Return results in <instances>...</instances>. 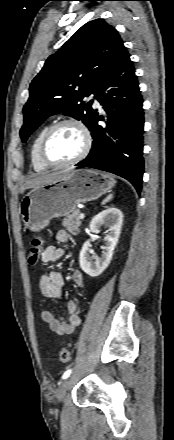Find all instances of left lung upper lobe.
<instances>
[{"mask_svg": "<svg viewBox=\"0 0 174 440\" xmlns=\"http://www.w3.org/2000/svg\"><path fill=\"white\" fill-rule=\"evenodd\" d=\"M125 49L117 30L103 19L83 25L45 62L30 84V96L23 108V142L50 115L64 113L88 127L94 114L83 102L95 98L104 76Z\"/></svg>", "mask_w": 174, "mask_h": 440, "instance_id": "left-lung-upper-lobe-1", "label": "left lung upper lobe"}]
</instances>
